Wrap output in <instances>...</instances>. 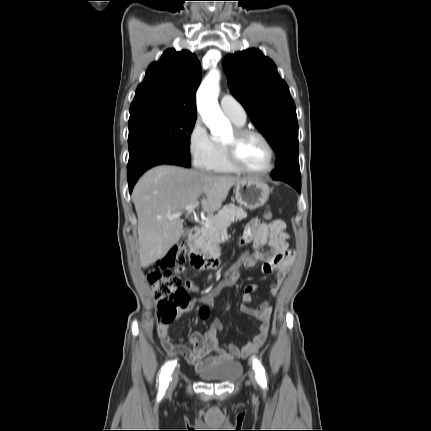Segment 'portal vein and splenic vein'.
Listing matches in <instances>:
<instances>
[{
  "mask_svg": "<svg viewBox=\"0 0 431 431\" xmlns=\"http://www.w3.org/2000/svg\"><path fill=\"white\" fill-rule=\"evenodd\" d=\"M197 206H198V203L191 204V205L186 206V207H185V210H186L187 212H192V211H194V209H195ZM181 215H182V212H175V213H173V214H171V215H168L167 217H168L169 219H176V218H179Z\"/></svg>",
  "mask_w": 431,
  "mask_h": 431,
  "instance_id": "18ae733b",
  "label": "portal vein and splenic vein"
}]
</instances>
